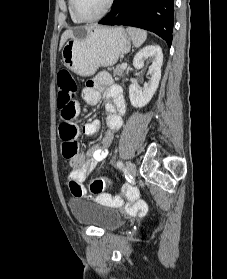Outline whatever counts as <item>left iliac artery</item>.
I'll return each instance as SVG.
<instances>
[{
	"label": "left iliac artery",
	"mask_w": 227,
	"mask_h": 279,
	"mask_svg": "<svg viewBox=\"0 0 227 279\" xmlns=\"http://www.w3.org/2000/svg\"><path fill=\"white\" fill-rule=\"evenodd\" d=\"M117 167H118L119 169H122V168H123V163H122V161H118V162H117Z\"/></svg>",
	"instance_id": "1"
}]
</instances>
